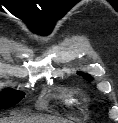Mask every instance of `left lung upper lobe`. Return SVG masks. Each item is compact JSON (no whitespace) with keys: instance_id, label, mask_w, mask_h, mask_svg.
Segmentation results:
<instances>
[{"instance_id":"obj_1","label":"left lung upper lobe","mask_w":118,"mask_h":123,"mask_svg":"<svg viewBox=\"0 0 118 123\" xmlns=\"http://www.w3.org/2000/svg\"><path fill=\"white\" fill-rule=\"evenodd\" d=\"M79 75H82L85 79H87V80H91L92 79V77L91 76H89L88 74H84V73H78Z\"/></svg>"}]
</instances>
